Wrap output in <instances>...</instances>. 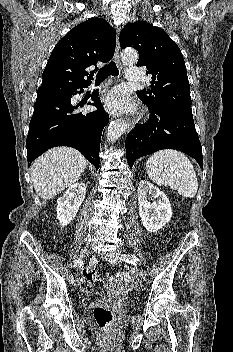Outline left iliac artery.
Instances as JSON below:
<instances>
[{
  "mask_svg": "<svg viewBox=\"0 0 233 352\" xmlns=\"http://www.w3.org/2000/svg\"><path fill=\"white\" fill-rule=\"evenodd\" d=\"M118 258L122 261H125L127 263H131L135 266L141 265L140 260L135 255L122 254V255L118 256ZM112 262L115 263V261H112Z\"/></svg>",
  "mask_w": 233,
  "mask_h": 352,
  "instance_id": "1",
  "label": "left iliac artery"
}]
</instances>
